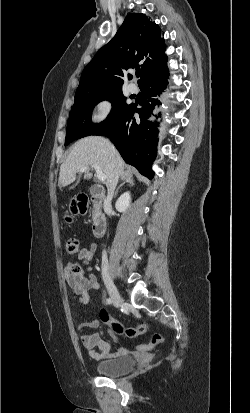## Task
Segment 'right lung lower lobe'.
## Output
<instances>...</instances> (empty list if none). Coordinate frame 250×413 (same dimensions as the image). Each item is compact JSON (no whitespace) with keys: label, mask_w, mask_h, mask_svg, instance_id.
<instances>
[{"label":"right lung lower lobe","mask_w":250,"mask_h":413,"mask_svg":"<svg viewBox=\"0 0 250 413\" xmlns=\"http://www.w3.org/2000/svg\"><path fill=\"white\" fill-rule=\"evenodd\" d=\"M168 70L153 74L142 81L140 85L143 100L141 108L129 104L104 127L92 135L106 136L111 139L124 161L134 167L149 179L154 177L151 165L156 157L157 127L159 123L155 106L161 102L158 96L166 88ZM139 118L134 117V113Z\"/></svg>","instance_id":"1"}]
</instances>
